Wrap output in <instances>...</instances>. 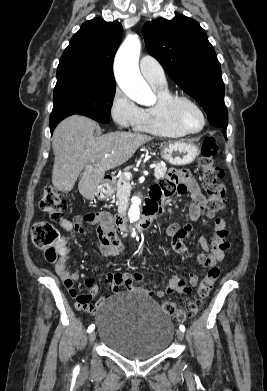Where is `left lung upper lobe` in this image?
<instances>
[{
  "instance_id": "5c2ea615",
  "label": "left lung upper lobe",
  "mask_w": 267,
  "mask_h": 391,
  "mask_svg": "<svg viewBox=\"0 0 267 391\" xmlns=\"http://www.w3.org/2000/svg\"><path fill=\"white\" fill-rule=\"evenodd\" d=\"M142 33L148 53L202 106L209 122L227 128L220 63L198 22L184 15L159 18L146 22Z\"/></svg>"
}]
</instances>
